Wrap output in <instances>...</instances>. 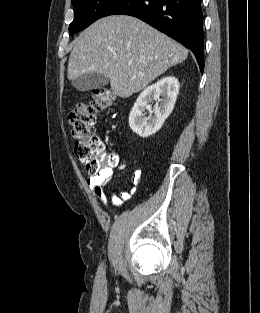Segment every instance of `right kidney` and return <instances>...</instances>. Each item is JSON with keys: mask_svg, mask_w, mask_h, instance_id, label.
I'll use <instances>...</instances> for the list:
<instances>
[{"mask_svg": "<svg viewBox=\"0 0 260 313\" xmlns=\"http://www.w3.org/2000/svg\"><path fill=\"white\" fill-rule=\"evenodd\" d=\"M179 92V81L173 76L160 79L137 98L129 115V126L140 137L155 134L172 112ZM161 97V98H160ZM156 101L152 109L151 103ZM154 115L145 117V111Z\"/></svg>", "mask_w": 260, "mask_h": 313, "instance_id": "1", "label": "right kidney"}]
</instances>
